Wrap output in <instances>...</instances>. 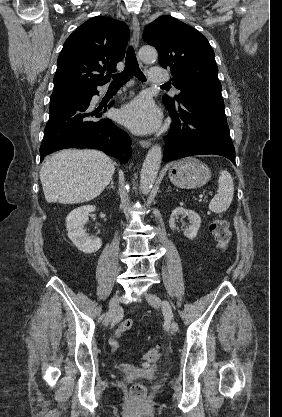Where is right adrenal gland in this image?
Segmentation results:
<instances>
[{
    "label": "right adrenal gland",
    "mask_w": 282,
    "mask_h": 417,
    "mask_svg": "<svg viewBox=\"0 0 282 417\" xmlns=\"http://www.w3.org/2000/svg\"><path fill=\"white\" fill-rule=\"evenodd\" d=\"M106 188H115L113 178H111L110 184H109V186H106Z\"/></svg>",
    "instance_id": "right-adrenal-gland-1"
}]
</instances>
